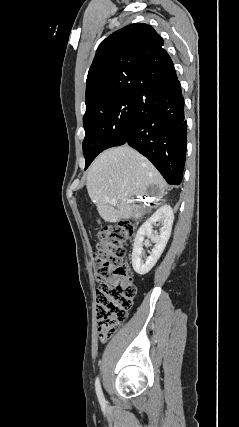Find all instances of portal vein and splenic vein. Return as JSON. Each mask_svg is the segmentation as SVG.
Here are the masks:
<instances>
[{"label": "portal vein and splenic vein", "mask_w": 239, "mask_h": 427, "mask_svg": "<svg viewBox=\"0 0 239 427\" xmlns=\"http://www.w3.org/2000/svg\"><path fill=\"white\" fill-rule=\"evenodd\" d=\"M132 201H133V199L129 200V202H132ZM110 203L113 204V205H116L117 204V200L116 199H112V200H110Z\"/></svg>", "instance_id": "18ae733b"}]
</instances>
